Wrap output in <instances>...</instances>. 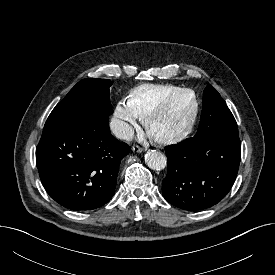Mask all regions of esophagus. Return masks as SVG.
<instances>
[{"instance_id": "obj_1", "label": "esophagus", "mask_w": 275, "mask_h": 275, "mask_svg": "<svg viewBox=\"0 0 275 275\" xmlns=\"http://www.w3.org/2000/svg\"><path fill=\"white\" fill-rule=\"evenodd\" d=\"M132 150H133L134 152H136V153H141V152H143L145 149H144L143 147L138 146V145H134V146L132 147Z\"/></svg>"}]
</instances>
